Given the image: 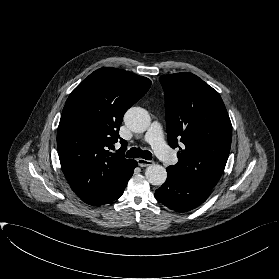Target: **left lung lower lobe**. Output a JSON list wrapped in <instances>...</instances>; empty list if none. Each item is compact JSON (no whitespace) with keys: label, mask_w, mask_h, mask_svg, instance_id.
Masks as SVG:
<instances>
[{"label":"left lung lower lobe","mask_w":279,"mask_h":279,"mask_svg":"<svg viewBox=\"0 0 279 279\" xmlns=\"http://www.w3.org/2000/svg\"><path fill=\"white\" fill-rule=\"evenodd\" d=\"M210 193L211 190L181 178L168 167L167 180L156 190L155 197L172 210L187 212L202 204Z\"/></svg>","instance_id":"left-lung-lower-lobe-1"}]
</instances>
